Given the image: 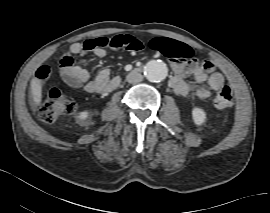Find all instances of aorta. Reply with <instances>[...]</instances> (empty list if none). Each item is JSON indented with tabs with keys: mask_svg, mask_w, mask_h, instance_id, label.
Here are the masks:
<instances>
[{
	"mask_svg": "<svg viewBox=\"0 0 270 213\" xmlns=\"http://www.w3.org/2000/svg\"><path fill=\"white\" fill-rule=\"evenodd\" d=\"M144 73L150 82L158 83L165 79L167 68L161 61H151L145 66Z\"/></svg>",
	"mask_w": 270,
	"mask_h": 213,
	"instance_id": "1",
	"label": "aorta"
}]
</instances>
